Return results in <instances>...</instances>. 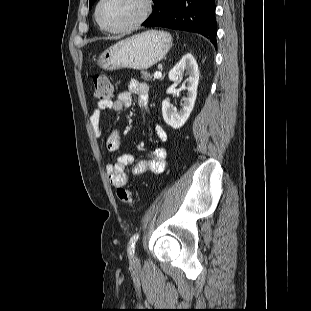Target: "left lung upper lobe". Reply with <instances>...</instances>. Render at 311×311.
Instances as JSON below:
<instances>
[{"label": "left lung upper lobe", "instance_id": "1", "mask_svg": "<svg viewBox=\"0 0 311 311\" xmlns=\"http://www.w3.org/2000/svg\"><path fill=\"white\" fill-rule=\"evenodd\" d=\"M96 0H89V9L92 7L93 3L95 2Z\"/></svg>", "mask_w": 311, "mask_h": 311}]
</instances>
